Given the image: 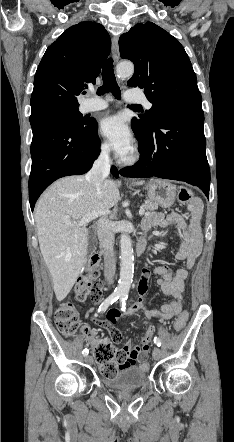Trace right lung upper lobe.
Masks as SVG:
<instances>
[{
	"mask_svg": "<svg viewBox=\"0 0 234 442\" xmlns=\"http://www.w3.org/2000/svg\"><path fill=\"white\" fill-rule=\"evenodd\" d=\"M111 49L105 28L85 21L64 31L46 50L35 74L31 115L78 107L77 95L95 84Z\"/></svg>",
	"mask_w": 234,
	"mask_h": 442,
	"instance_id": "cb5924a9",
	"label": "right lung upper lobe"
}]
</instances>
